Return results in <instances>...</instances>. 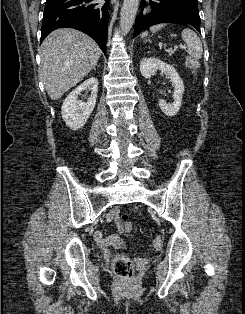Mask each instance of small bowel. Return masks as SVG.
<instances>
[{
  "label": "small bowel",
  "mask_w": 245,
  "mask_h": 314,
  "mask_svg": "<svg viewBox=\"0 0 245 314\" xmlns=\"http://www.w3.org/2000/svg\"><path fill=\"white\" fill-rule=\"evenodd\" d=\"M119 210L114 207L110 210V212L106 215V220L108 222L117 221ZM118 231L123 232L120 224L117 225ZM94 238L100 246H115L121 247L124 244L123 239L118 234H112L109 236H105L101 231H95Z\"/></svg>",
  "instance_id": "1"
}]
</instances>
